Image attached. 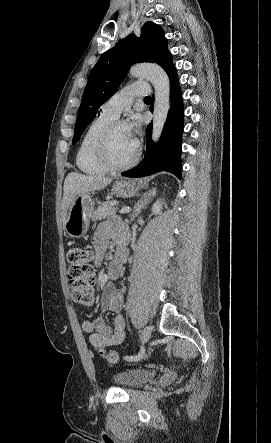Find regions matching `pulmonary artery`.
Here are the masks:
<instances>
[{"instance_id": "1", "label": "pulmonary artery", "mask_w": 271, "mask_h": 443, "mask_svg": "<svg viewBox=\"0 0 271 443\" xmlns=\"http://www.w3.org/2000/svg\"><path fill=\"white\" fill-rule=\"evenodd\" d=\"M143 95H145V92L138 89L137 83L127 86L112 95L101 105V114L116 118L122 111L127 110L131 106L134 97Z\"/></svg>"}]
</instances>
